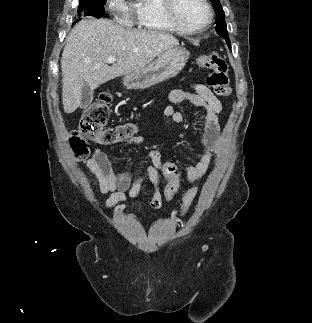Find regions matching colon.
<instances>
[{
    "label": "colon",
    "mask_w": 312,
    "mask_h": 323,
    "mask_svg": "<svg viewBox=\"0 0 312 323\" xmlns=\"http://www.w3.org/2000/svg\"><path fill=\"white\" fill-rule=\"evenodd\" d=\"M197 66L211 70L206 78V85L209 89H213L215 93L221 97H229L231 95V86L228 80V65L226 60L219 54L212 53L200 56L197 59ZM113 97L108 92L99 94L98 99L88 105L78 120V128L73 133V138L79 141H71L72 158H89L88 141L98 146H110L119 140L132 137L136 134L135 127L132 123H118L114 126L109 125ZM175 160H168L166 164L161 166L167 177L166 202L174 197L180 177L178 175V167L175 166ZM199 186L195 189H189L186 199L183 202V210L195 200L198 194ZM152 209L160 206L158 200L150 203ZM186 215V212H182Z\"/></svg>",
    "instance_id": "1"
}]
</instances>
